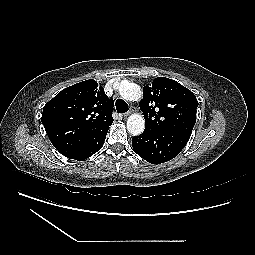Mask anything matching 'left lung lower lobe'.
<instances>
[{
  "mask_svg": "<svg viewBox=\"0 0 255 255\" xmlns=\"http://www.w3.org/2000/svg\"><path fill=\"white\" fill-rule=\"evenodd\" d=\"M191 135L171 131L144 130L132 138V146L140 157L152 164L167 162L177 156Z\"/></svg>",
  "mask_w": 255,
  "mask_h": 255,
  "instance_id": "obj_1",
  "label": "left lung lower lobe"
}]
</instances>
